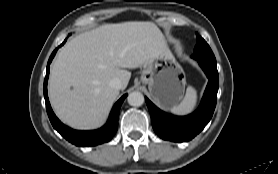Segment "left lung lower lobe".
Here are the masks:
<instances>
[{"instance_id": "1", "label": "left lung lower lobe", "mask_w": 278, "mask_h": 174, "mask_svg": "<svg viewBox=\"0 0 278 174\" xmlns=\"http://www.w3.org/2000/svg\"><path fill=\"white\" fill-rule=\"evenodd\" d=\"M192 58L198 61L209 79L201 104L194 113L181 117L166 114L145 98L153 129L162 139L187 142L200 133L212 118L219 81L216 62L195 55Z\"/></svg>"}]
</instances>
